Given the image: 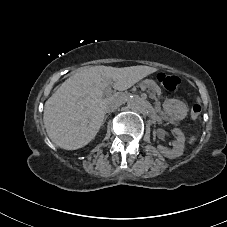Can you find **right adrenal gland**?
<instances>
[{
	"mask_svg": "<svg viewBox=\"0 0 227 227\" xmlns=\"http://www.w3.org/2000/svg\"><path fill=\"white\" fill-rule=\"evenodd\" d=\"M107 117H108V116H105L104 121H103V123H102V124H104V122L106 121Z\"/></svg>",
	"mask_w": 227,
	"mask_h": 227,
	"instance_id": "1",
	"label": "right adrenal gland"
}]
</instances>
